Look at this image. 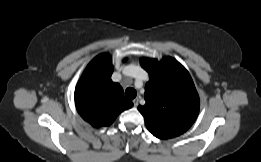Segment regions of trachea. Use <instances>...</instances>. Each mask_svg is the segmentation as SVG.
<instances>
[{"instance_id":"3493384b","label":"trachea","mask_w":261,"mask_h":162,"mask_svg":"<svg viewBox=\"0 0 261 162\" xmlns=\"http://www.w3.org/2000/svg\"><path fill=\"white\" fill-rule=\"evenodd\" d=\"M136 95H137V92L133 88H127L126 91H125V96L129 100L134 99L136 97Z\"/></svg>"}]
</instances>
